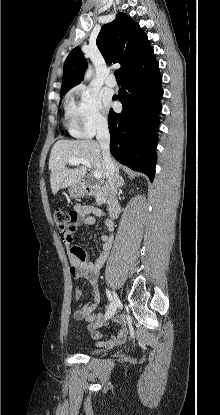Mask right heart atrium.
Here are the masks:
<instances>
[{"instance_id": "1", "label": "right heart atrium", "mask_w": 220, "mask_h": 415, "mask_svg": "<svg viewBox=\"0 0 220 415\" xmlns=\"http://www.w3.org/2000/svg\"><path fill=\"white\" fill-rule=\"evenodd\" d=\"M77 100L71 98L68 103V115L74 132L79 137L88 138L107 127L100 96L86 86L75 89Z\"/></svg>"}]
</instances>
